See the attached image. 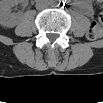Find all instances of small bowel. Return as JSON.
<instances>
[{
  "label": "small bowel",
  "instance_id": "1",
  "mask_svg": "<svg viewBox=\"0 0 103 103\" xmlns=\"http://www.w3.org/2000/svg\"><path fill=\"white\" fill-rule=\"evenodd\" d=\"M76 9L83 15L91 17L94 14V9L91 3L89 2H80L76 4Z\"/></svg>",
  "mask_w": 103,
  "mask_h": 103
}]
</instances>
